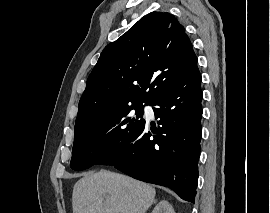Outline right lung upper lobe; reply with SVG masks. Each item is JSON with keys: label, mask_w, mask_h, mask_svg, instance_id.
Segmentation results:
<instances>
[{"label": "right lung upper lobe", "mask_w": 270, "mask_h": 213, "mask_svg": "<svg viewBox=\"0 0 270 213\" xmlns=\"http://www.w3.org/2000/svg\"><path fill=\"white\" fill-rule=\"evenodd\" d=\"M196 62L184 27L173 15L144 16L102 51L79 101L76 123L120 106L151 104L188 76Z\"/></svg>", "instance_id": "obj_1"}]
</instances>
